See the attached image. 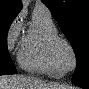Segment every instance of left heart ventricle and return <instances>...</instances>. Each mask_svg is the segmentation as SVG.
<instances>
[{
    "instance_id": "1",
    "label": "left heart ventricle",
    "mask_w": 89,
    "mask_h": 89,
    "mask_svg": "<svg viewBox=\"0 0 89 89\" xmlns=\"http://www.w3.org/2000/svg\"><path fill=\"white\" fill-rule=\"evenodd\" d=\"M62 56L66 64L70 65L72 64V56L70 52L66 49L62 50Z\"/></svg>"
}]
</instances>
